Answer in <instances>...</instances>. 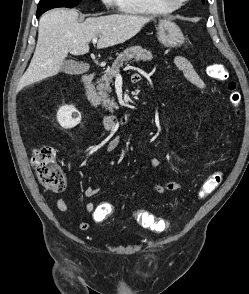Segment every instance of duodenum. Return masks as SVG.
I'll use <instances>...</instances> for the list:
<instances>
[{
	"mask_svg": "<svg viewBox=\"0 0 249 294\" xmlns=\"http://www.w3.org/2000/svg\"><path fill=\"white\" fill-rule=\"evenodd\" d=\"M94 75L95 72L84 73L80 78V83L85 100L92 108L98 110L101 107V102L92 86ZM137 81H140V76H137ZM102 118L103 126L107 131L119 129L129 120L128 116L118 117L115 115H103Z\"/></svg>",
	"mask_w": 249,
	"mask_h": 294,
	"instance_id": "410a0bca",
	"label": "duodenum"
}]
</instances>
